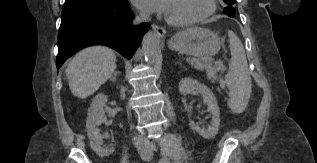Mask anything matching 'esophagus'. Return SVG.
I'll use <instances>...</instances> for the list:
<instances>
[{"instance_id": "esophagus-1", "label": "esophagus", "mask_w": 317, "mask_h": 163, "mask_svg": "<svg viewBox=\"0 0 317 163\" xmlns=\"http://www.w3.org/2000/svg\"><path fill=\"white\" fill-rule=\"evenodd\" d=\"M152 29L160 36V37H164L165 34H166V30L161 27V26H158L156 24H153L152 25Z\"/></svg>"}]
</instances>
